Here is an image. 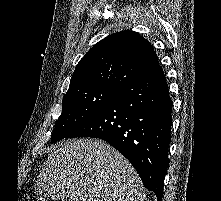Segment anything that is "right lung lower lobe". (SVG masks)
<instances>
[{
    "mask_svg": "<svg viewBox=\"0 0 221 201\" xmlns=\"http://www.w3.org/2000/svg\"><path fill=\"white\" fill-rule=\"evenodd\" d=\"M172 100L165 75L157 67L121 88L67 138H100L136 169L144 186L162 200L169 164Z\"/></svg>",
    "mask_w": 221,
    "mask_h": 201,
    "instance_id": "98d812e1",
    "label": "right lung lower lobe"
}]
</instances>
